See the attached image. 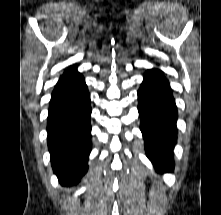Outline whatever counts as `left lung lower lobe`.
I'll return each mask as SVG.
<instances>
[{"mask_svg":"<svg viewBox=\"0 0 221 215\" xmlns=\"http://www.w3.org/2000/svg\"><path fill=\"white\" fill-rule=\"evenodd\" d=\"M138 101L146 155L157 172H172L177 109L169 81L161 70L154 68L145 72Z\"/></svg>","mask_w":221,"mask_h":215,"instance_id":"obj_1","label":"left lung lower lobe"}]
</instances>
